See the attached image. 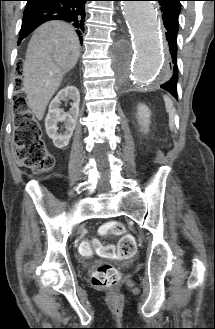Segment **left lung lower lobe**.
Segmentation results:
<instances>
[{
  "instance_id": "left-lung-lower-lobe-1",
  "label": "left lung lower lobe",
  "mask_w": 215,
  "mask_h": 329,
  "mask_svg": "<svg viewBox=\"0 0 215 329\" xmlns=\"http://www.w3.org/2000/svg\"><path fill=\"white\" fill-rule=\"evenodd\" d=\"M159 2L160 10L162 11V18L164 27L166 28L167 40V80L160 85L171 93L177 99V34L179 29L178 17L181 8L175 5L171 0H156Z\"/></svg>"
}]
</instances>
